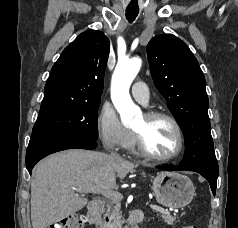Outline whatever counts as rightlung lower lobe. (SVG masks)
Segmentation results:
<instances>
[{"mask_svg": "<svg viewBox=\"0 0 238 228\" xmlns=\"http://www.w3.org/2000/svg\"><path fill=\"white\" fill-rule=\"evenodd\" d=\"M96 139L69 134L32 135L26 152V167L31 173L34 165L45 156L72 148L95 149Z\"/></svg>", "mask_w": 238, "mask_h": 228, "instance_id": "98d812e1", "label": "right lung lower lobe"}]
</instances>
